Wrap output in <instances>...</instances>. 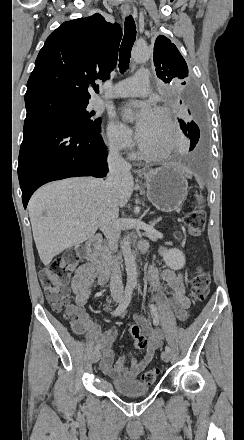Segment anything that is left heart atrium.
Instances as JSON below:
<instances>
[{
  "mask_svg": "<svg viewBox=\"0 0 244 440\" xmlns=\"http://www.w3.org/2000/svg\"><path fill=\"white\" fill-rule=\"evenodd\" d=\"M138 127L143 130L148 125L154 110L147 103H139Z\"/></svg>",
  "mask_w": 244,
  "mask_h": 440,
  "instance_id": "39dd6f15",
  "label": "left heart atrium"
}]
</instances>
